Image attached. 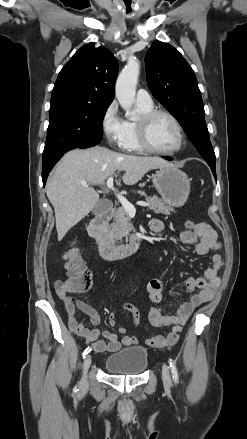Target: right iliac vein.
Returning a JSON list of instances; mask_svg holds the SVG:
<instances>
[{
  "mask_svg": "<svg viewBox=\"0 0 247 439\" xmlns=\"http://www.w3.org/2000/svg\"><path fill=\"white\" fill-rule=\"evenodd\" d=\"M91 362H92V357L90 354H88L83 362V385H86L87 383V372L91 365Z\"/></svg>",
  "mask_w": 247,
  "mask_h": 439,
  "instance_id": "63e3f726",
  "label": "right iliac vein"
}]
</instances>
